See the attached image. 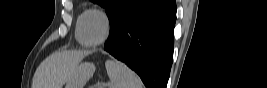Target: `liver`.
Wrapping results in <instances>:
<instances>
[{
	"mask_svg": "<svg viewBox=\"0 0 267 88\" xmlns=\"http://www.w3.org/2000/svg\"><path fill=\"white\" fill-rule=\"evenodd\" d=\"M88 51H62L48 56L37 68L32 88H62Z\"/></svg>",
	"mask_w": 267,
	"mask_h": 88,
	"instance_id": "1",
	"label": "liver"
}]
</instances>
